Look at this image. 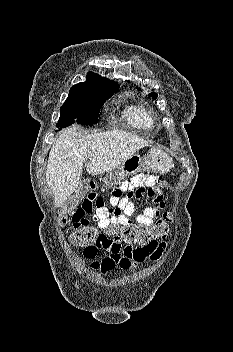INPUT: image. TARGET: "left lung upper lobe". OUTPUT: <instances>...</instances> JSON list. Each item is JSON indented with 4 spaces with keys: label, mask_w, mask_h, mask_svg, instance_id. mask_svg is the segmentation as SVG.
Wrapping results in <instances>:
<instances>
[{
    "label": "left lung upper lobe",
    "mask_w": 233,
    "mask_h": 352,
    "mask_svg": "<svg viewBox=\"0 0 233 352\" xmlns=\"http://www.w3.org/2000/svg\"><path fill=\"white\" fill-rule=\"evenodd\" d=\"M148 96H151L155 99L157 97V93H149Z\"/></svg>",
    "instance_id": "obj_1"
}]
</instances>
